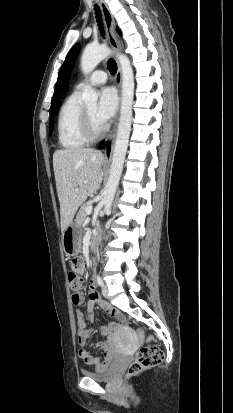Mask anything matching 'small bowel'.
<instances>
[{
    "instance_id": "1",
    "label": "small bowel",
    "mask_w": 233,
    "mask_h": 413,
    "mask_svg": "<svg viewBox=\"0 0 233 413\" xmlns=\"http://www.w3.org/2000/svg\"><path fill=\"white\" fill-rule=\"evenodd\" d=\"M70 271L75 273L76 276H83L85 273V266L83 263V257L81 255H72L70 257ZM72 302L74 305H82L84 303V295L81 292L72 295ZM99 307L106 313L114 316L118 323H111L100 329L102 335L106 336L107 339L102 342L96 343V347L106 351L103 361L99 358L94 357L90 351L87 349V340L91 337L93 330L88 328V323L92 322L94 319V311ZM87 317L80 310L76 311V322L78 326L77 337L78 343L80 345L79 356L84 360L87 365L93 366L97 369L106 368L115 358L118 351L115 347V334L121 327L123 322V315L120 311L112 307L109 303L104 301L97 291L95 290V285L91 283L89 289V300L87 302Z\"/></svg>"
}]
</instances>
